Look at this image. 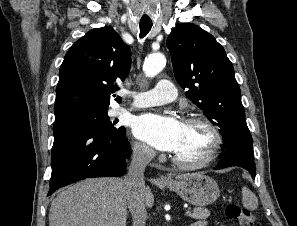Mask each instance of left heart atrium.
Listing matches in <instances>:
<instances>
[{"instance_id": "1", "label": "left heart atrium", "mask_w": 297, "mask_h": 226, "mask_svg": "<svg viewBox=\"0 0 297 226\" xmlns=\"http://www.w3.org/2000/svg\"><path fill=\"white\" fill-rule=\"evenodd\" d=\"M182 125L178 119L155 114H143L132 122L135 136L161 151L174 152L181 140Z\"/></svg>"}]
</instances>
